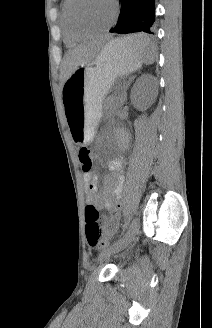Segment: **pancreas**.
Returning <instances> with one entry per match:
<instances>
[{"mask_svg": "<svg viewBox=\"0 0 212 328\" xmlns=\"http://www.w3.org/2000/svg\"><path fill=\"white\" fill-rule=\"evenodd\" d=\"M119 97L110 96L105 101L106 109H109L112 112H115L120 108Z\"/></svg>", "mask_w": 212, "mask_h": 328, "instance_id": "pancreas-1", "label": "pancreas"}]
</instances>
